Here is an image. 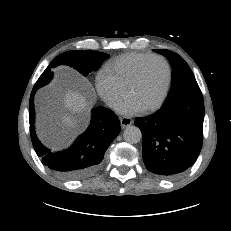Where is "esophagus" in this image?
<instances>
[{
    "label": "esophagus",
    "mask_w": 231,
    "mask_h": 231,
    "mask_svg": "<svg viewBox=\"0 0 231 231\" xmlns=\"http://www.w3.org/2000/svg\"><path fill=\"white\" fill-rule=\"evenodd\" d=\"M132 123L133 120L130 117H123L120 119V124L123 129L130 126Z\"/></svg>",
    "instance_id": "obj_1"
}]
</instances>
